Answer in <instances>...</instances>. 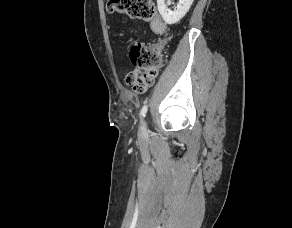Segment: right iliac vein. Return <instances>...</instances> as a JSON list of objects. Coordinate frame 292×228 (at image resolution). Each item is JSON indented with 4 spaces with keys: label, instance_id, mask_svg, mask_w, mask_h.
I'll list each match as a JSON object with an SVG mask.
<instances>
[{
    "label": "right iliac vein",
    "instance_id": "63e3f726",
    "mask_svg": "<svg viewBox=\"0 0 292 228\" xmlns=\"http://www.w3.org/2000/svg\"><path fill=\"white\" fill-rule=\"evenodd\" d=\"M139 134L144 136L146 134V122L143 120L140 125Z\"/></svg>",
    "mask_w": 292,
    "mask_h": 228
}]
</instances>
